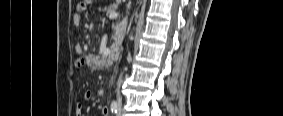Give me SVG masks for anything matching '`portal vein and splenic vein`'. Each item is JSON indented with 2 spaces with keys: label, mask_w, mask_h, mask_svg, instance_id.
Listing matches in <instances>:
<instances>
[{
  "label": "portal vein and splenic vein",
  "mask_w": 283,
  "mask_h": 116,
  "mask_svg": "<svg viewBox=\"0 0 283 116\" xmlns=\"http://www.w3.org/2000/svg\"><path fill=\"white\" fill-rule=\"evenodd\" d=\"M118 15H119L118 13L113 12V13L109 14V18L110 19H116L118 17Z\"/></svg>",
  "instance_id": "portal-vein-and-splenic-vein-1"
}]
</instances>
